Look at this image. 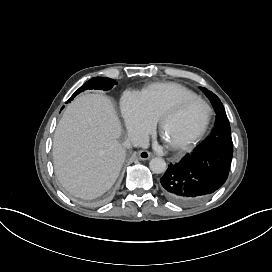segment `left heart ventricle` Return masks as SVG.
Returning <instances> with one entry per match:
<instances>
[{"mask_svg":"<svg viewBox=\"0 0 272 272\" xmlns=\"http://www.w3.org/2000/svg\"><path fill=\"white\" fill-rule=\"evenodd\" d=\"M204 116L203 108L193 104L184 111L167 116V130L183 141L201 124Z\"/></svg>","mask_w":272,"mask_h":272,"instance_id":"obj_1","label":"left heart ventricle"}]
</instances>
